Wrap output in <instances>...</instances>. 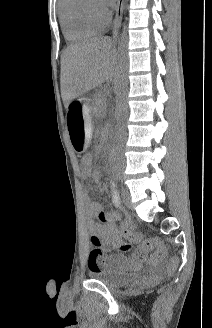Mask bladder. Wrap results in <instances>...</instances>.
I'll list each match as a JSON object with an SVG mask.
<instances>
[{"label":"bladder","mask_w":212,"mask_h":328,"mask_svg":"<svg viewBox=\"0 0 212 328\" xmlns=\"http://www.w3.org/2000/svg\"><path fill=\"white\" fill-rule=\"evenodd\" d=\"M89 277L100 281L110 288H120L136 278V274L111 269L94 270L89 272Z\"/></svg>","instance_id":"bladder-1"}]
</instances>
